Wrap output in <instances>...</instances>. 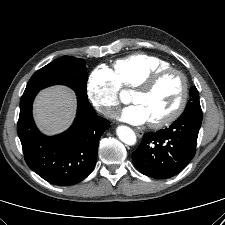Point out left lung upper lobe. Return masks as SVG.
<instances>
[{
	"mask_svg": "<svg viewBox=\"0 0 225 225\" xmlns=\"http://www.w3.org/2000/svg\"><path fill=\"white\" fill-rule=\"evenodd\" d=\"M191 109H201L200 102H199V93L195 86L190 89V100L183 113Z\"/></svg>",
	"mask_w": 225,
	"mask_h": 225,
	"instance_id": "obj_1",
	"label": "left lung upper lobe"
}]
</instances>
